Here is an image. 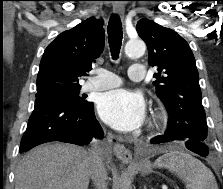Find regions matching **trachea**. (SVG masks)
<instances>
[{
  "label": "trachea",
  "mask_w": 223,
  "mask_h": 189,
  "mask_svg": "<svg viewBox=\"0 0 223 189\" xmlns=\"http://www.w3.org/2000/svg\"><path fill=\"white\" fill-rule=\"evenodd\" d=\"M107 32L112 58L117 59L120 53L123 38L122 23L117 15L111 16Z\"/></svg>",
  "instance_id": "trachea-1"
}]
</instances>
